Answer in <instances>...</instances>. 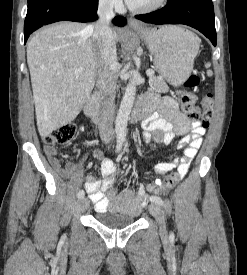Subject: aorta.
<instances>
[{"label": "aorta", "instance_id": "762f6f07", "mask_svg": "<svg viewBox=\"0 0 247 275\" xmlns=\"http://www.w3.org/2000/svg\"><path fill=\"white\" fill-rule=\"evenodd\" d=\"M136 95V82L132 77L127 84L120 108L116 117L115 132L118 140H125L127 133V123L133 107Z\"/></svg>", "mask_w": 247, "mask_h": 275}]
</instances>
